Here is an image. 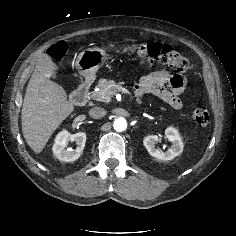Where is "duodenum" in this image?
<instances>
[{
	"instance_id": "obj_1",
	"label": "duodenum",
	"mask_w": 236,
	"mask_h": 236,
	"mask_svg": "<svg viewBox=\"0 0 236 236\" xmlns=\"http://www.w3.org/2000/svg\"><path fill=\"white\" fill-rule=\"evenodd\" d=\"M90 83L88 80H82L76 89L72 92L70 100L75 105H83L87 100Z\"/></svg>"
}]
</instances>
